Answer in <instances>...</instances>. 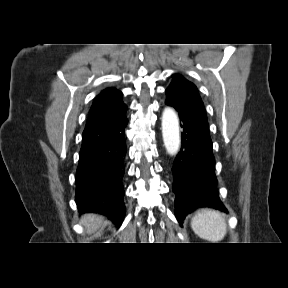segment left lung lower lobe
I'll list each match as a JSON object with an SVG mask.
<instances>
[{
	"label": "left lung lower lobe",
	"instance_id": "obj_1",
	"mask_svg": "<svg viewBox=\"0 0 288 288\" xmlns=\"http://www.w3.org/2000/svg\"><path fill=\"white\" fill-rule=\"evenodd\" d=\"M165 104L179 113L182 147L172 173L175 216L182 226L185 217L199 207L227 212L216 192L215 158L203 102L166 94Z\"/></svg>",
	"mask_w": 288,
	"mask_h": 288
}]
</instances>
